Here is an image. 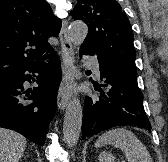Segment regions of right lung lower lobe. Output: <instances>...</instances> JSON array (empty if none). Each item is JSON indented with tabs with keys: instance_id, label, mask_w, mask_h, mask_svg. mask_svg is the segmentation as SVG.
<instances>
[{
	"instance_id": "1",
	"label": "right lung lower lobe",
	"mask_w": 168,
	"mask_h": 162,
	"mask_svg": "<svg viewBox=\"0 0 168 162\" xmlns=\"http://www.w3.org/2000/svg\"><path fill=\"white\" fill-rule=\"evenodd\" d=\"M28 72L38 73L39 86L24 91L25 81H35ZM60 79V63L55 54L47 67L41 62L0 78V127L17 131L43 146L49 121L56 111Z\"/></svg>"
}]
</instances>
